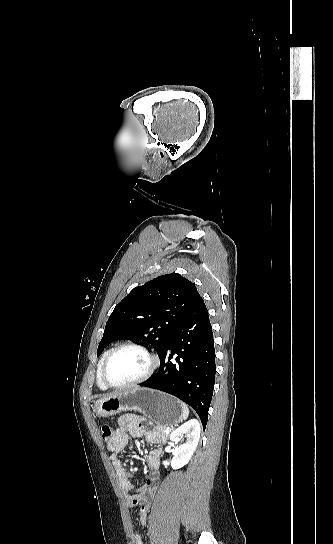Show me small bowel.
Returning a JSON list of instances; mask_svg holds the SVG:
<instances>
[{
  "instance_id": "obj_1",
  "label": "small bowel",
  "mask_w": 333,
  "mask_h": 544,
  "mask_svg": "<svg viewBox=\"0 0 333 544\" xmlns=\"http://www.w3.org/2000/svg\"><path fill=\"white\" fill-rule=\"evenodd\" d=\"M118 423L119 427L114 432L111 440L107 443L108 450L110 451V460L115 469L119 485L127 499V505L129 507H139V520L144 524L147 521L151 501L160 483V451L158 449H152L146 455L149 474L146 483L137 490V494L135 495L130 494L132 491L130 480L131 474L123 466L119 455L128 444L129 436H144L145 441L150 445H156L158 439L152 429L146 428L145 421L136 415H123L119 418ZM133 544H143L141 534H134Z\"/></svg>"
}]
</instances>
